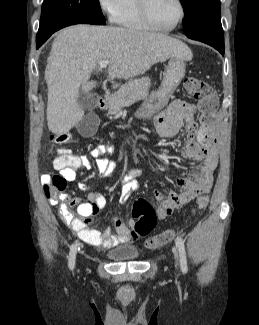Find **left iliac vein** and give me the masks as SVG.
<instances>
[{
    "label": "left iliac vein",
    "instance_id": "1",
    "mask_svg": "<svg viewBox=\"0 0 259 325\" xmlns=\"http://www.w3.org/2000/svg\"><path fill=\"white\" fill-rule=\"evenodd\" d=\"M172 251H173V254H174L175 264H176V267H177V265H178V251H177V248L173 247Z\"/></svg>",
    "mask_w": 259,
    "mask_h": 325
}]
</instances>
